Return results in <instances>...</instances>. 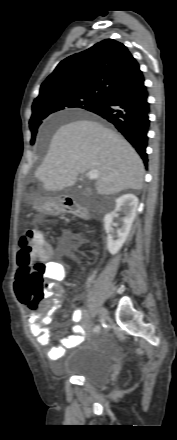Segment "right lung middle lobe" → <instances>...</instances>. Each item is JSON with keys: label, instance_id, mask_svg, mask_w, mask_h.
Masks as SVG:
<instances>
[{"label": "right lung middle lobe", "instance_id": "right-lung-middle-lobe-1", "mask_svg": "<svg viewBox=\"0 0 177 440\" xmlns=\"http://www.w3.org/2000/svg\"><path fill=\"white\" fill-rule=\"evenodd\" d=\"M102 94H89V93H67L56 97L49 102H46L40 106L32 107V116L29 121V127L32 133L31 144H34L37 134V129L45 119L51 113L66 110L68 108H81L88 109L102 99Z\"/></svg>", "mask_w": 177, "mask_h": 440}]
</instances>
